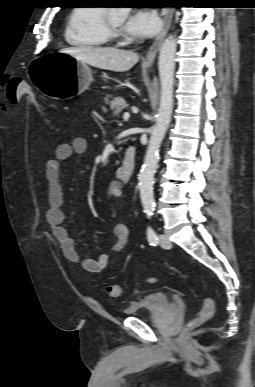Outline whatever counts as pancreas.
Returning a JSON list of instances; mask_svg holds the SVG:
<instances>
[{
    "label": "pancreas",
    "mask_w": 255,
    "mask_h": 387,
    "mask_svg": "<svg viewBox=\"0 0 255 387\" xmlns=\"http://www.w3.org/2000/svg\"><path fill=\"white\" fill-rule=\"evenodd\" d=\"M109 104L113 116H117L124 108L127 107L125 100L122 97H116L113 100H105Z\"/></svg>",
    "instance_id": "pancreas-1"
}]
</instances>
